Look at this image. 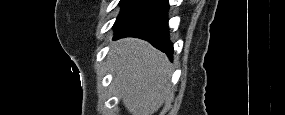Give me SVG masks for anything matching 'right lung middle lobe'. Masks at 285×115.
Segmentation results:
<instances>
[{"mask_svg":"<svg viewBox=\"0 0 285 115\" xmlns=\"http://www.w3.org/2000/svg\"><path fill=\"white\" fill-rule=\"evenodd\" d=\"M157 2L158 0H121L120 5L122 6V9L116 19L113 28L117 29L127 20L144 11L145 9L153 6Z\"/></svg>","mask_w":285,"mask_h":115,"instance_id":"right-lung-middle-lobe-1","label":"right lung middle lobe"}]
</instances>
